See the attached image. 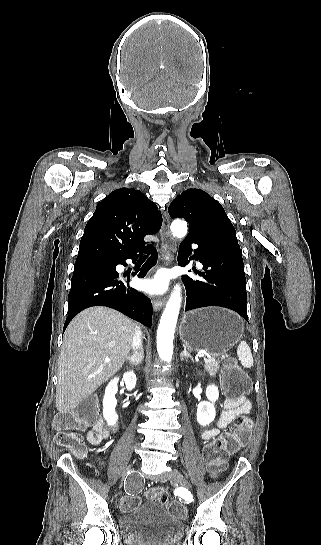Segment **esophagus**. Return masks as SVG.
<instances>
[{"label":"esophagus","instance_id":"esophagus-1","mask_svg":"<svg viewBox=\"0 0 321 545\" xmlns=\"http://www.w3.org/2000/svg\"><path fill=\"white\" fill-rule=\"evenodd\" d=\"M168 213L164 212V222L162 225V228L160 230V236L161 241L163 245V249L161 252L162 260L164 261L165 265H170V263L173 260V253L175 251V242L174 238L171 235V232L169 231L168 227ZM166 298H159L154 301L153 307L155 311L160 310L165 305Z\"/></svg>","mask_w":321,"mask_h":545}]
</instances>
